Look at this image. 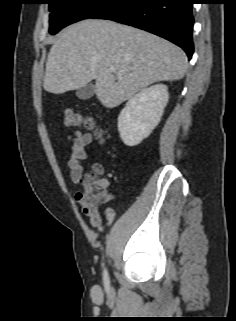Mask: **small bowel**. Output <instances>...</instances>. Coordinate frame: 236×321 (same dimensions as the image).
<instances>
[{
    "label": "small bowel",
    "instance_id": "small-bowel-1",
    "mask_svg": "<svg viewBox=\"0 0 236 321\" xmlns=\"http://www.w3.org/2000/svg\"><path fill=\"white\" fill-rule=\"evenodd\" d=\"M71 141V154L68 160L69 176L74 184H79L83 180L84 169L83 161L87 159L86 147L92 143L93 135L89 132L76 131L74 135L70 137ZM100 183L107 189L110 185L109 181L105 178L99 180ZM75 200L81 205L82 211L89 217V223L91 227L101 229L106 224L113 221L115 212L112 208H104V216L106 221L103 220V216L99 211V208L92 206L82 200L77 194Z\"/></svg>",
    "mask_w": 236,
    "mask_h": 321
}]
</instances>
